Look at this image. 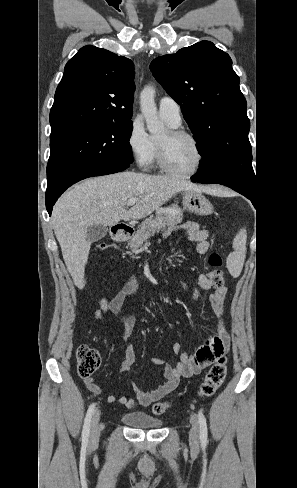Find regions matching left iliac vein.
<instances>
[{"label":"left iliac vein","mask_w":297,"mask_h":488,"mask_svg":"<svg viewBox=\"0 0 297 488\" xmlns=\"http://www.w3.org/2000/svg\"><path fill=\"white\" fill-rule=\"evenodd\" d=\"M191 429L189 431V443L193 451L198 450L199 426L197 417L194 414L190 416Z\"/></svg>","instance_id":"1"}]
</instances>
